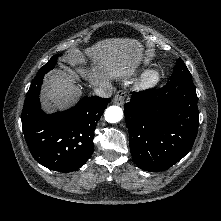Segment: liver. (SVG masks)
Here are the masks:
<instances>
[{"instance_id": "1", "label": "liver", "mask_w": 221, "mask_h": 221, "mask_svg": "<svg viewBox=\"0 0 221 221\" xmlns=\"http://www.w3.org/2000/svg\"><path fill=\"white\" fill-rule=\"evenodd\" d=\"M143 49L142 44L135 39H105L86 48L83 53L73 50L70 62L75 71L88 79L92 86L99 87L110 80L127 79L134 75L143 58ZM84 55L94 64L90 70L83 67ZM75 71L57 70L48 75L42 88V105L45 110L65 109L78 100L82 92L75 84L78 76Z\"/></svg>"}]
</instances>
